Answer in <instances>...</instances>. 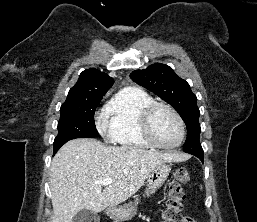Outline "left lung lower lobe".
Here are the masks:
<instances>
[{"label":"left lung lower lobe","mask_w":257,"mask_h":222,"mask_svg":"<svg viewBox=\"0 0 257 222\" xmlns=\"http://www.w3.org/2000/svg\"><path fill=\"white\" fill-rule=\"evenodd\" d=\"M196 157H198L202 162H203V155H195Z\"/></svg>","instance_id":"0a47b994"}]
</instances>
